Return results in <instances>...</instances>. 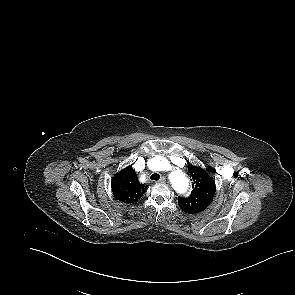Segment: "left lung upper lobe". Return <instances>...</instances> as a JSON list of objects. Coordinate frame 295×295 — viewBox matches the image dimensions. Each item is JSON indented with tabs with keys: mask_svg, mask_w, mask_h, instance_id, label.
<instances>
[{
	"mask_svg": "<svg viewBox=\"0 0 295 295\" xmlns=\"http://www.w3.org/2000/svg\"><path fill=\"white\" fill-rule=\"evenodd\" d=\"M188 175L193 181V190L187 198L178 197L179 207L186 213L193 214L203 211L212 202L215 194V183L201 168L190 166Z\"/></svg>",
	"mask_w": 295,
	"mask_h": 295,
	"instance_id": "left-lung-upper-lobe-1",
	"label": "left lung upper lobe"
}]
</instances>
